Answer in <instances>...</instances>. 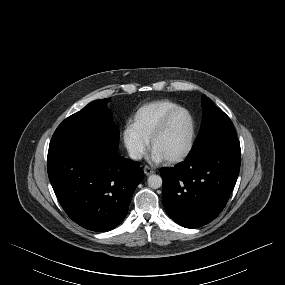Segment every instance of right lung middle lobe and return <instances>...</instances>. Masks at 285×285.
Returning a JSON list of instances; mask_svg holds the SVG:
<instances>
[{
  "label": "right lung middle lobe",
  "mask_w": 285,
  "mask_h": 285,
  "mask_svg": "<svg viewBox=\"0 0 285 285\" xmlns=\"http://www.w3.org/2000/svg\"><path fill=\"white\" fill-rule=\"evenodd\" d=\"M109 99L96 100L65 119L54 132L50 146L54 144L86 141L110 148H117L119 129L107 109Z\"/></svg>",
  "instance_id": "dd1d6c3e"
}]
</instances>
